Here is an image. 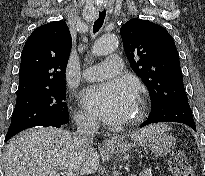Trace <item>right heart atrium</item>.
Returning <instances> with one entry per match:
<instances>
[{"instance_id": "1", "label": "right heart atrium", "mask_w": 205, "mask_h": 176, "mask_svg": "<svg viewBox=\"0 0 205 176\" xmlns=\"http://www.w3.org/2000/svg\"><path fill=\"white\" fill-rule=\"evenodd\" d=\"M77 120L81 125L86 127H93L96 123L94 117L91 114L83 111L78 112Z\"/></svg>"}]
</instances>
